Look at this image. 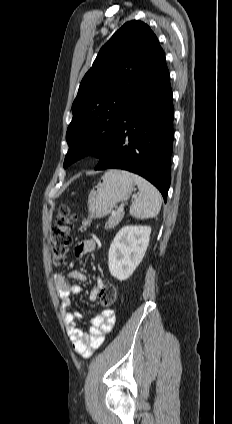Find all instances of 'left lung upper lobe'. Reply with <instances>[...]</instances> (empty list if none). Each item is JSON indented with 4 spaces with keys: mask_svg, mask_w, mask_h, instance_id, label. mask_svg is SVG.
Masks as SVG:
<instances>
[{
    "mask_svg": "<svg viewBox=\"0 0 232 424\" xmlns=\"http://www.w3.org/2000/svg\"><path fill=\"white\" fill-rule=\"evenodd\" d=\"M165 57L142 21L125 23L101 48L72 105L64 167L88 155L101 156L127 105Z\"/></svg>",
    "mask_w": 232,
    "mask_h": 424,
    "instance_id": "obj_1",
    "label": "left lung upper lobe"
}]
</instances>
